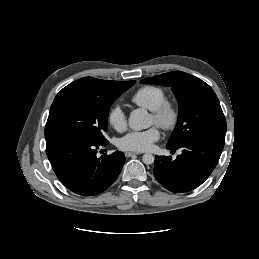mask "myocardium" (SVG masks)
<instances>
[{
  "label": "myocardium",
  "instance_id": "myocardium-1",
  "mask_svg": "<svg viewBox=\"0 0 259 259\" xmlns=\"http://www.w3.org/2000/svg\"><path fill=\"white\" fill-rule=\"evenodd\" d=\"M152 116L159 127L169 131L177 126L180 115L177 106L173 102L165 100L152 111Z\"/></svg>",
  "mask_w": 259,
  "mask_h": 259
}]
</instances>
